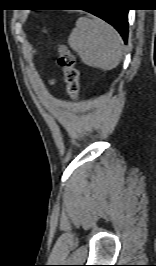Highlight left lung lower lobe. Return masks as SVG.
Wrapping results in <instances>:
<instances>
[{"label":"left lung lower lobe","mask_w":156,"mask_h":266,"mask_svg":"<svg viewBox=\"0 0 156 266\" xmlns=\"http://www.w3.org/2000/svg\"><path fill=\"white\" fill-rule=\"evenodd\" d=\"M92 2L100 5L83 10L89 11L114 26L126 43L128 35V10L109 7V0H94Z\"/></svg>","instance_id":"left-lung-lower-lobe-1"}]
</instances>
